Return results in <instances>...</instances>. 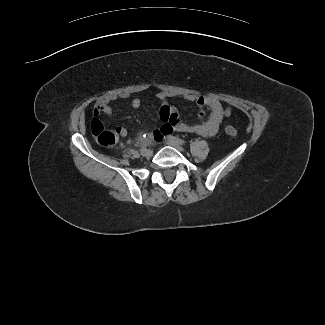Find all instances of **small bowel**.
<instances>
[{
	"label": "small bowel",
	"instance_id": "1",
	"mask_svg": "<svg viewBox=\"0 0 325 325\" xmlns=\"http://www.w3.org/2000/svg\"><path fill=\"white\" fill-rule=\"evenodd\" d=\"M157 97L161 101L159 118L164 122L161 127L153 131L155 138L159 139L171 133L173 130L177 132L195 133L206 137L214 136L218 132L223 120L229 117L231 113L230 109L224 107L218 99L210 96L161 91L157 94ZM172 97L194 102L200 108L206 109L208 115L205 112L200 113L202 121L199 124L190 125L182 122L177 108L168 103V99ZM128 98H130V95L125 92L104 94L95 103L94 115L98 116L101 113L110 115L112 113L110 107L111 102ZM130 105L133 108H139L141 101L137 97L131 98ZM116 130L120 136H125L127 133L126 129L122 126L117 127Z\"/></svg>",
	"mask_w": 325,
	"mask_h": 325
}]
</instances>
